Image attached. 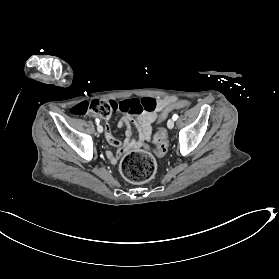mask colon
Instances as JSON below:
<instances>
[{
    "instance_id": "colon-1",
    "label": "colon",
    "mask_w": 279,
    "mask_h": 279,
    "mask_svg": "<svg viewBox=\"0 0 279 279\" xmlns=\"http://www.w3.org/2000/svg\"><path fill=\"white\" fill-rule=\"evenodd\" d=\"M189 106L188 101L170 102L166 105L159 119L164 120L168 115L179 109ZM157 107V101L145 97L122 101L94 99L91 102H82L71 109L76 116L93 114L101 118H108L112 111H121L133 115L143 112H152ZM155 144L154 154L164 156L168 149V136L164 128H159L153 136ZM120 170L123 177L134 184H142L153 178L156 172L154 155L147 151H132L127 153L121 160Z\"/></svg>"
}]
</instances>
